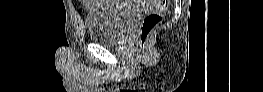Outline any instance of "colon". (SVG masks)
Masks as SVG:
<instances>
[{
    "label": "colon",
    "instance_id": "1",
    "mask_svg": "<svg viewBox=\"0 0 263 92\" xmlns=\"http://www.w3.org/2000/svg\"><path fill=\"white\" fill-rule=\"evenodd\" d=\"M156 3L158 4L157 8L150 11L144 17L141 24L139 38L142 45L147 42L153 29L161 22L163 14L168 7L169 0H158Z\"/></svg>",
    "mask_w": 263,
    "mask_h": 92
}]
</instances>
